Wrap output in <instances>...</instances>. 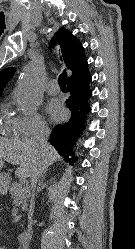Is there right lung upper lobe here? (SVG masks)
Here are the masks:
<instances>
[{
  "instance_id": "1",
  "label": "right lung upper lobe",
  "mask_w": 135,
  "mask_h": 249,
  "mask_svg": "<svg viewBox=\"0 0 135 249\" xmlns=\"http://www.w3.org/2000/svg\"><path fill=\"white\" fill-rule=\"evenodd\" d=\"M59 45L63 61L72 75L67 83L79 81L89 75L88 63L80 41L65 28H59L51 39L50 46ZM15 68H5L0 72V96L7 82L12 78Z\"/></svg>"
}]
</instances>
